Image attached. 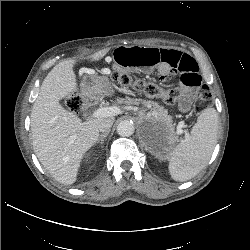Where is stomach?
<instances>
[{"instance_id": "1", "label": "stomach", "mask_w": 250, "mask_h": 250, "mask_svg": "<svg viewBox=\"0 0 250 250\" xmlns=\"http://www.w3.org/2000/svg\"><path fill=\"white\" fill-rule=\"evenodd\" d=\"M114 92L108 78L93 76L82 83L81 96L84 99H97L101 96L112 95Z\"/></svg>"}]
</instances>
